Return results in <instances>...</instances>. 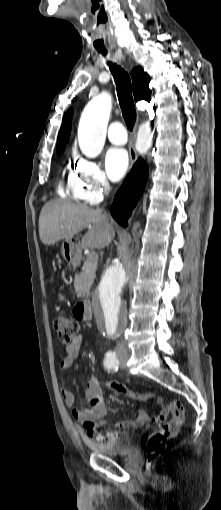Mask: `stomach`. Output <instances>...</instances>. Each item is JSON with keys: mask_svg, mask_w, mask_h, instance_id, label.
Listing matches in <instances>:
<instances>
[{"mask_svg": "<svg viewBox=\"0 0 221 510\" xmlns=\"http://www.w3.org/2000/svg\"><path fill=\"white\" fill-rule=\"evenodd\" d=\"M79 252V245L72 241V239H66L62 243V255L66 260L72 261L73 258L78 254Z\"/></svg>", "mask_w": 221, "mask_h": 510, "instance_id": "0dacf381", "label": "stomach"}]
</instances>
